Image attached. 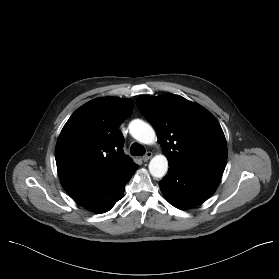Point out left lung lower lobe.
Instances as JSON below:
<instances>
[{
    "label": "left lung lower lobe",
    "mask_w": 279,
    "mask_h": 279,
    "mask_svg": "<svg viewBox=\"0 0 279 279\" xmlns=\"http://www.w3.org/2000/svg\"><path fill=\"white\" fill-rule=\"evenodd\" d=\"M222 174L169 164L168 174L159 182L167 200L179 209L203 203L216 190Z\"/></svg>",
    "instance_id": "left-lung-lower-lobe-1"
}]
</instances>
